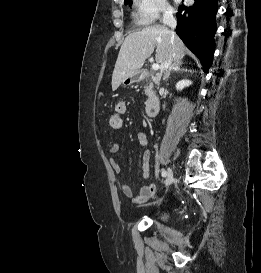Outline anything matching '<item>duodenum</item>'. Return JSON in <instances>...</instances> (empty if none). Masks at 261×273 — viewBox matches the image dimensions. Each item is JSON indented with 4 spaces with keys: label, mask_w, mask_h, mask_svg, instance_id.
I'll return each instance as SVG.
<instances>
[{
    "label": "duodenum",
    "mask_w": 261,
    "mask_h": 273,
    "mask_svg": "<svg viewBox=\"0 0 261 273\" xmlns=\"http://www.w3.org/2000/svg\"><path fill=\"white\" fill-rule=\"evenodd\" d=\"M143 76L146 77L147 74H143ZM159 106H160V101L157 97L150 98L146 104L147 115L150 117L155 116L159 110Z\"/></svg>",
    "instance_id": "obj_1"
}]
</instances>
